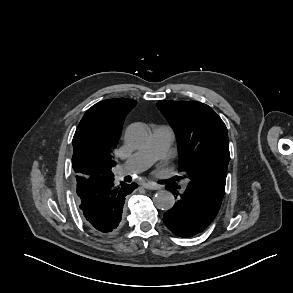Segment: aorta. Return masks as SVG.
<instances>
[{"instance_id":"762f6f07","label":"aorta","mask_w":293,"mask_h":293,"mask_svg":"<svg viewBox=\"0 0 293 293\" xmlns=\"http://www.w3.org/2000/svg\"><path fill=\"white\" fill-rule=\"evenodd\" d=\"M149 140V129L140 123L129 126L126 132L127 143L135 148L142 147ZM155 205L162 210H169L174 206L175 198L173 194L166 190H161L154 197Z\"/></svg>"}]
</instances>
